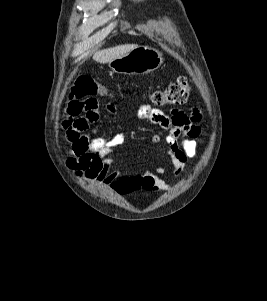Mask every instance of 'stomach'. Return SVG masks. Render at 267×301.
<instances>
[{
    "mask_svg": "<svg viewBox=\"0 0 267 301\" xmlns=\"http://www.w3.org/2000/svg\"><path fill=\"white\" fill-rule=\"evenodd\" d=\"M163 63V55L155 48L139 46L109 62L110 69L115 73L141 75L158 69Z\"/></svg>",
    "mask_w": 267,
    "mask_h": 301,
    "instance_id": "0dacf381",
    "label": "stomach"
}]
</instances>
